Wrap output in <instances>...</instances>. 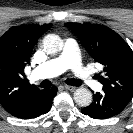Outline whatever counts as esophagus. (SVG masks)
I'll use <instances>...</instances> for the list:
<instances>
[{
    "mask_svg": "<svg viewBox=\"0 0 133 133\" xmlns=\"http://www.w3.org/2000/svg\"><path fill=\"white\" fill-rule=\"evenodd\" d=\"M64 88H65L66 90H69V91H75V90H76V87L70 86V85H65Z\"/></svg>",
    "mask_w": 133,
    "mask_h": 133,
    "instance_id": "esophagus-1",
    "label": "esophagus"
}]
</instances>
